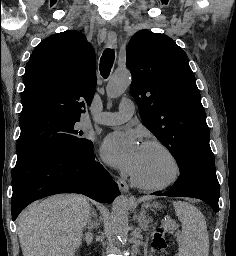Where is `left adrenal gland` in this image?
<instances>
[{"instance_id": "obj_1", "label": "left adrenal gland", "mask_w": 236, "mask_h": 256, "mask_svg": "<svg viewBox=\"0 0 236 256\" xmlns=\"http://www.w3.org/2000/svg\"><path fill=\"white\" fill-rule=\"evenodd\" d=\"M150 222H153V220L152 218H149V216H146V210H140L139 216H138V224L140 228H142V230H146Z\"/></svg>"}]
</instances>
